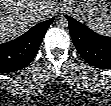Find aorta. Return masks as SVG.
<instances>
[{
	"label": "aorta",
	"instance_id": "1",
	"mask_svg": "<svg viewBox=\"0 0 111 106\" xmlns=\"http://www.w3.org/2000/svg\"><path fill=\"white\" fill-rule=\"evenodd\" d=\"M57 25L60 27V28H65L68 26V21L65 17H59L57 19Z\"/></svg>",
	"mask_w": 111,
	"mask_h": 106
}]
</instances>
